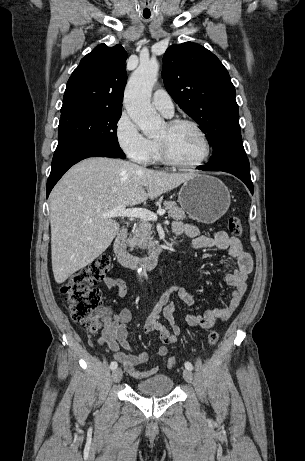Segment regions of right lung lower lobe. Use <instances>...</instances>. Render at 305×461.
Masks as SVG:
<instances>
[{
    "label": "right lung lower lobe",
    "mask_w": 305,
    "mask_h": 461,
    "mask_svg": "<svg viewBox=\"0 0 305 461\" xmlns=\"http://www.w3.org/2000/svg\"><path fill=\"white\" fill-rule=\"evenodd\" d=\"M89 157L121 158L120 155L103 146L91 144L56 150L52 160L51 173L47 180V198L54 185L72 165Z\"/></svg>",
    "instance_id": "1"
}]
</instances>
